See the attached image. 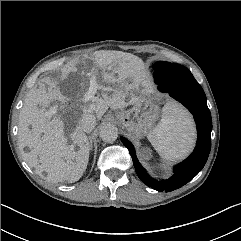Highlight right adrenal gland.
I'll return each instance as SVG.
<instances>
[{
  "instance_id": "1",
  "label": "right adrenal gland",
  "mask_w": 241,
  "mask_h": 241,
  "mask_svg": "<svg viewBox=\"0 0 241 241\" xmlns=\"http://www.w3.org/2000/svg\"><path fill=\"white\" fill-rule=\"evenodd\" d=\"M88 140H89V143H90V150H92V139L88 138Z\"/></svg>"
}]
</instances>
